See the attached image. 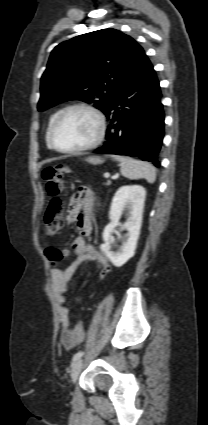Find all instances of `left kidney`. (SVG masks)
Listing matches in <instances>:
<instances>
[{"instance_id":"obj_1","label":"left kidney","mask_w":208,"mask_h":425,"mask_svg":"<svg viewBox=\"0 0 208 425\" xmlns=\"http://www.w3.org/2000/svg\"><path fill=\"white\" fill-rule=\"evenodd\" d=\"M145 197L146 190L144 187L131 185L120 187L112 199L109 212L111 222L103 231L104 244L100 246V249L116 267L123 266L135 254L142 225ZM124 214L127 221L123 224V228L127 231V238L120 250L113 252L110 237L113 230L120 225L119 220Z\"/></svg>"}]
</instances>
